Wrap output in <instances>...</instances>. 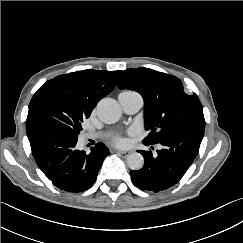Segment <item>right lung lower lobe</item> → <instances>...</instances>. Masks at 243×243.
Segmentation results:
<instances>
[{"instance_id":"obj_1","label":"right lung lower lobe","mask_w":243,"mask_h":243,"mask_svg":"<svg viewBox=\"0 0 243 243\" xmlns=\"http://www.w3.org/2000/svg\"><path fill=\"white\" fill-rule=\"evenodd\" d=\"M26 131L39 168L57 188L67 192L89 189L109 155L101 143H97L90 154L77 150L78 138L53 124H26Z\"/></svg>"}]
</instances>
